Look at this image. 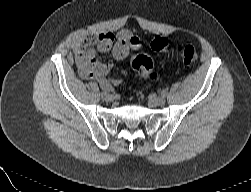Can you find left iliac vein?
<instances>
[{"label": "left iliac vein", "mask_w": 251, "mask_h": 192, "mask_svg": "<svg viewBox=\"0 0 251 192\" xmlns=\"http://www.w3.org/2000/svg\"><path fill=\"white\" fill-rule=\"evenodd\" d=\"M151 102L155 106H162L165 104V98L163 96H156V97L152 98Z\"/></svg>", "instance_id": "1"}]
</instances>
